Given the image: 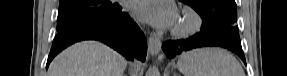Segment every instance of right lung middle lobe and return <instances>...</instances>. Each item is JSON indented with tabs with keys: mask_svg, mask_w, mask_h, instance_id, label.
Masks as SVG:
<instances>
[{
	"mask_svg": "<svg viewBox=\"0 0 287 76\" xmlns=\"http://www.w3.org/2000/svg\"><path fill=\"white\" fill-rule=\"evenodd\" d=\"M121 7L109 0H60L57 31L63 32L75 25L102 21L121 13Z\"/></svg>",
	"mask_w": 287,
	"mask_h": 76,
	"instance_id": "right-lung-middle-lobe-1",
	"label": "right lung middle lobe"
}]
</instances>
